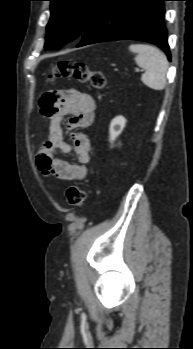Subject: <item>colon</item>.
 <instances>
[{
	"label": "colon",
	"instance_id": "colon-1",
	"mask_svg": "<svg viewBox=\"0 0 193 349\" xmlns=\"http://www.w3.org/2000/svg\"><path fill=\"white\" fill-rule=\"evenodd\" d=\"M61 77H71L75 80L89 84L95 89H104L107 85L105 75L100 71H91L85 63L73 60H60L49 72V79L55 80ZM58 91H48L40 99V106L46 113L54 112L58 100ZM70 205L81 207L86 199L85 192L78 186H70L66 192Z\"/></svg>",
	"mask_w": 193,
	"mask_h": 349
}]
</instances>
